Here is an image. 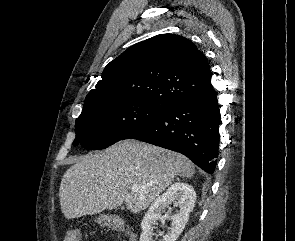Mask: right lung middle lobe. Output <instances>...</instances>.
<instances>
[{
	"label": "right lung middle lobe",
	"instance_id": "obj_1",
	"mask_svg": "<svg viewBox=\"0 0 295 241\" xmlns=\"http://www.w3.org/2000/svg\"><path fill=\"white\" fill-rule=\"evenodd\" d=\"M163 109L125 98L113 91L87 95L82 113L75 121L73 145L81 144L89 150L105 149L158 116Z\"/></svg>",
	"mask_w": 295,
	"mask_h": 241
}]
</instances>
